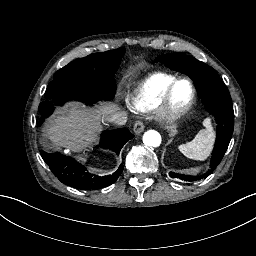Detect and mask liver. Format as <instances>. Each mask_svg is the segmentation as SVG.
Returning a JSON list of instances; mask_svg holds the SVG:
<instances>
[{
  "instance_id": "6515ba94",
  "label": "liver",
  "mask_w": 256,
  "mask_h": 256,
  "mask_svg": "<svg viewBox=\"0 0 256 256\" xmlns=\"http://www.w3.org/2000/svg\"><path fill=\"white\" fill-rule=\"evenodd\" d=\"M79 108L78 104H70L65 110H60L59 115L53 116L46 130L47 138L67 147H84L93 143L100 116L80 111ZM114 111V106L101 105L99 112L106 117Z\"/></svg>"
}]
</instances>
